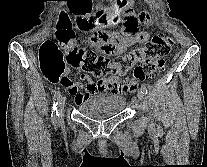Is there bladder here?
Listing matches in <instances>:
<instances>
[{
  "mask_svg": "<svg viewBox=\"0 0 207 167\" xmlns=\"http://www.w3.org/2000/svg\"><path fill=\"white\" fill-rule=\"evenodd\" d=\"M126 104L122 96L104 95L93 97L78 106V111L89 118L105 119L120 114Z\"/></svg>",
  "mask_w": 207,
  "mask_h": 167,
  "instance_id": "1",
  "label": "bladder"
}]
</instances>
